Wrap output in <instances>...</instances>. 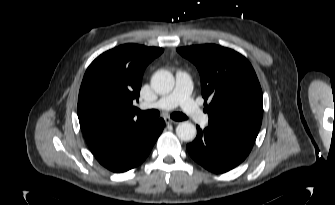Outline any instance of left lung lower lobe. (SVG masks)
Returning a JSON list of instances; mask_svg holds the SVG:
<instances>
[{
	"instance_id": "1",
	"label": "left lung lower lobe",
	"mask_w": 335,
	"mask_h": 205,
	"mask_svg": "<svg viewBox=\"0 0 335 205\" xmlns=\"http://www.w3.org/2000/svg\"><path fill=\"white\" fill-rule=\"evenodd\" d=\"M255 140L209 125L197 126L196 139L187 145L191 157L209 171L224 173L239 165Z\"/></svg>"
}]
</instances>
